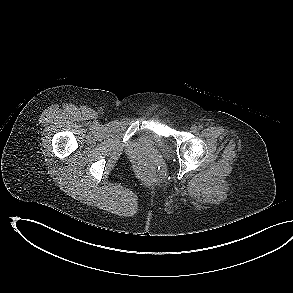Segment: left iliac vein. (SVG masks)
<instances>
[{
  "mask_svg": "<svg viewBox=\"0 0 293 293\" xmlns=\"http://www.w3.org/2000/svg\"><path fill=\"white\" fill-rule=\"evenodd\" d=\"M190 131L192 133H196L197 132V127L195 125H192L191 128H190Z\"/></svg>",
  "mask_w": 293,
  "mask_h": 293,
  "instance_id": "1",
  "label": "left iliac vein"
}]
</instances>
